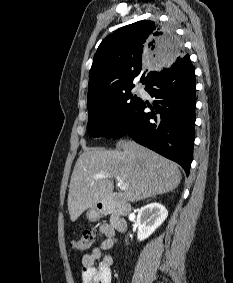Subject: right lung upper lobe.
<instances>
[{
    "mask_svg": "<svg viewBox=\"0 0 233 283\" xmlns=\"http://www.w3.org/2000/svg\"><path fill=\"white\" fill-rule=\"evenodd\" d=\"M181 49L174 33L154 21L142 20L117 29L101 42L94 56L89 72L88 106L133 87L138 75H142L140 82L147 84L190 55V50Z\"/></svg>",
    "mask_w": 233,
    "mask_h": 283,
    "instance_id": "right-lung-upper-lobe-1",
    "label": "right lung upper lobe"
}]
</instances>
